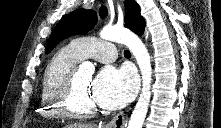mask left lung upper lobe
<instances>
[{
	"label": "left lung upper lobe",
	"mask_w": 221,
	"mask_h": 128,
	"mask_svg": "<svg viewBox=\"0 0 221 128\" xmlns=\"http://www.w3.org/2000/svg\"><path fill=\"white\" fill-rule=\"evenodd\" d=\"M125 27L138 35L144 32L145 22L140 15V7L134 0H125ZM106 15L105 8L100 9V16ZM97 23V14L93 10L77 9L65 17L54 28L46 47L49 53L58 43L65 38L77 34H86Z\"/></svg>",
	"instance_id": "1"
}]
</instances>
